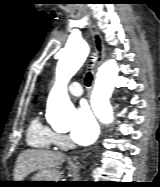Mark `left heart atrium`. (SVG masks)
I'll return each instance as SVG.
<instances>
[{"mask_svg":"<svg viewBox=\"0 0 160 187\" xmlns=\"http://www.w3.org/2000/svg\"><path fill=\"white\" fill-rule=\"evenodd\" d=\"M98 125L95 117L86 104H82L76 111L71 137L80 145L93 143L98 136Z\"/></svg>","mask_w":160,"mask_h":187,"instance_id":"left-heart-atrium-1","label":"left heart atrium"}]
</instances>
